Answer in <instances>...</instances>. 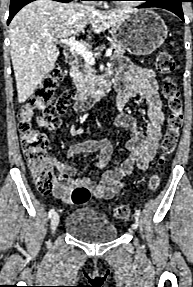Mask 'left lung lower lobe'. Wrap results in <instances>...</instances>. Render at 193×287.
Returning <instances> with one entry per match:
<instances>
[{
	"mask_svg": "<svg viewBox=\"0 0 193 287\" xmlns=\"http://www.w3.org/2000/svg\"><path fill=\"white\" fill-rule=\"evenodd\" d=\"M186 1L187 0H148L146 1V3L139 6V8H149V7L163 8L175 13L183 21H185L181 3Z\"/></svg>",
	"mask_w": 193,
	"mask_h": 287,
	"instance_id": "0a47b994",
	"label": "left lung lower lobe"
}]
</instances>
